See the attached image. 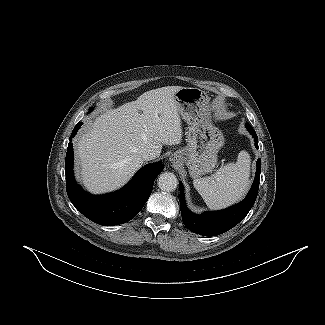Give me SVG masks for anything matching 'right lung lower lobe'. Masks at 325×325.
Instances as JSON below:
<instances>
[{"instance_id":"1","label":"right lung lower lobe","mask_w":325,"mask_h":325,"mask_svg":"<svg viewBox=\"0 0 325 325\" xmlns=\"http://www.w3.org/2000/svg\"><path fill=\"white\" fill-rule=\"evenodd\" d=\"M82 122L77 123L69 140L65 160L66 190L75 208L93 222L112 226L133 219L147 202L156 177L163 171L162 162L148 164L140 169L123 189L105 195H91L77 185L73 174L72 138Z\"/></svg>"}]
</instances>
